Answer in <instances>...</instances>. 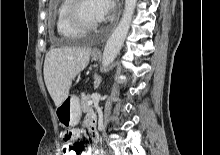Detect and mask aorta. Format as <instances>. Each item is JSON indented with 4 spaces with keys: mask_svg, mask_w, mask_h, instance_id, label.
Returning a JSON list of instances; mask_svg holds the SVG:
<instances>
[{
    "mask_svg": "<svg viewBox=\"0 0 220 155\" xmlns=\"http://www.w3.org/2000/svg\"><path fill=\"white\" fill-rule=\"evenodd\" d=\"M137 0H125L122 18L104 48L102 66L108 67L117 57L130 28Z\"/></svg>",
    "mask_w": 220,
    "mask_h": 155,
    "instance_id": "762f6f07",
    "label": "aorta"
}]
</instances>
